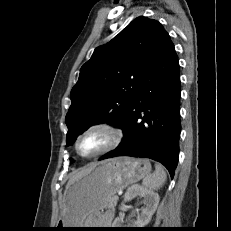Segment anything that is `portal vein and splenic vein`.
Masks as SVG:
<instances>
[{
	"mask_svg": "<svg viewBox=\"0 0 231 231\" xmlns=\"http://www.w3.org/2000/svg\"><path fill=\"white\" fill-rule=\"evenodd\" d=\"M115 199H118V196H117V195H115Z\"/></svg>",
	"mask_w": 231,
	"mask_h": 231,
	"instance_id": "18ae733b",
	"label": "portal vein and splenic vein"
}]
</instances>
